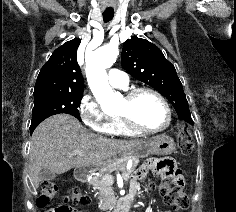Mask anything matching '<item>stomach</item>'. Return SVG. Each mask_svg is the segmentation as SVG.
Instances as JSON below:
<instances>
[{
    "instance_id": "stomach-1",
    "label": "stomach",
    "mask_w": 236,
    "mask_h": 212,
    "mask_svg": "<svg viewBox=\"0 0 236 212\" xmlns=\"http://www.w3.org/2000/svg\"><path fill=\"white\" fill-rule=\"evenodd\" d=\"M175 150V143L171 137L162 134L150 138L147 141L132 148L128 153L123 156L131 157L139 160L140 158L148 157L149 155H168ZM112 160H109L106 164H110Z\"/></svg>"
}]
</instances>
